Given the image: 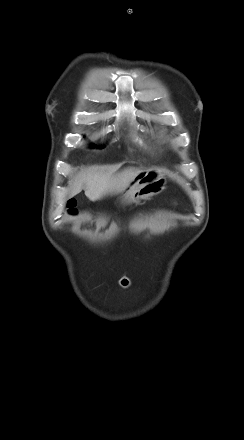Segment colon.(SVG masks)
<instances>
[{"label": "colon", "mask_w": 244, "mask_h": 440, "mask_svg": "<svg viewBox=\"0 0 244 440\" xmlns=\"http://www.w3.org/2000/svg\"><path fill=\"white\" fill-rule=\"evenodd\" d=\"M68 211H69V213L72 214V215L76 214L75 205H74L73 203H70V204H69Z\"/></svg>", "instance_id": "1"}]
</instances>
